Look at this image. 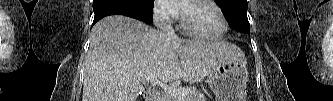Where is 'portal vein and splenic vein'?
<instances>
[{
  "label": "portal vein and splenic vein",
  "mask_w": 333,
  "mask_h": 101,
  "mask_svg": "<svg viewBox=\"0 0 333 101\" xmlns=\"http://www.w3.org/2000/svg\"><path fill=\"white\" fill-rule=\"evenodd\" d=\"M145 81L150 82L152 85H157L164 89V91L168 92L172 96H174L179 101L184 99V96L188 94L189 90L186 89H176L175 87H170L166 83L160 81L155 75H148L144 77Z\"/></svg>",
  "instance_id": "1"
}]
</instances>
